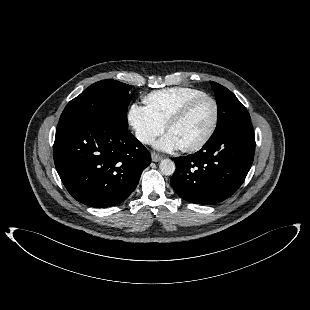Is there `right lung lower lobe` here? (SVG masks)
<instances>
[{
    "mask_svg": "<svg viewBox=\"0 0 310 310\" xmlns=\"http://www.w3.org/2000/svg\"><path fill=\"white\" fill-rule=\"evenodd\" d=\"M54 162L73 198L102 208L133 192L151 156L128 129L75 119L57 126Z\"/></svg>",
    "mask_w": 310,
    "mask_h": 310,
    "instance_id": "right-lung-lower-lobe-1",
    "label": "right lung lower lobe"
}]
</instances>
